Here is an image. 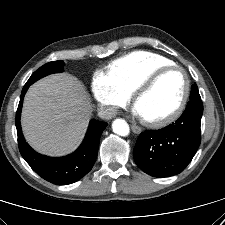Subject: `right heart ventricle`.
<instances>
[{"label": "right heart ventricle", "mask_w": 225, "mask_h": 225, "mask_svg": "<svg viewBox=\"0 0 225 225\" xmlns=\"http://www.w3.org/2000/svg\"><path fill=\"white\" fill-rule=\"evenodd\" d=\"M171 64L173 61L159 54L134 51L113 61L108 75L122 91L131 95L148 75Z\"/></svg>", "instance_id": "obj_1"}]
</instances>
